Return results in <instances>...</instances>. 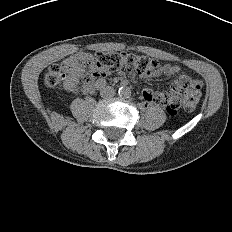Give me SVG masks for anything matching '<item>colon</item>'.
<instances>
[{
    "label": "colon",
    "instance_id": "obj_1",
    "mask_svg": "<svg viewBox=\"0 0 232 232\" xmlns=\"http://www.w3.org/2000/svg\"><path fill=\"white\" fill-rule=\"evenodd\" d=\"M75 63L88 68L84 78L86 83L95 77H104L122 68L136 70L144 75L151 74L159 68L158 62L147 56L112 52H97L87 57H78L75 58ZM64 72V64L49 67L44 76L45 85L50 88L61 87L65 80ZM200 90L199 87L192 86L188 78L182 77L175 81L169 94H157L155 102L165 107L169 115L175 116L181 106L186 110H192L197 106Z\"/></svg>",
    "mask_w": 232,
    "mask_h": 232
}]
</instances>
